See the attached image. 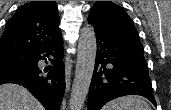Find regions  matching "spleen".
I'll list each match as a JSON object with an SVG mask.
<instances>
[{
    "instance_id": "3e777b00",
    "label": "spleen",
    "mask_w": 171,
    "mask_h": 110,
    "mask_svg": "<svg viewBox=\"0 0 171 110\" xmlns=\"http://www.w3.org/2000/svg\"><path fill=\"white\" fill-rule=\"evenodd\" d=\"M102 110H151V107L141 97L129 95L108 102Z\"/></svg>"
}]
</instances>
